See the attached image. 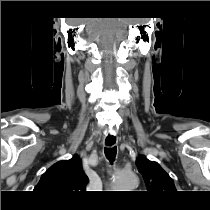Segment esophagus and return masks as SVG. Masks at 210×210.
Here are the masks:
<instances>
[{
	"label": "esophagus",
	"instance_id": "1",
	"mask_svg": "<svg viewBox=\"0 0 210 210\" xmlns=\"http://www.w3.org/2000/svg\"><path fill=\"white\" fill-rule=\"evenodd\" d=\"M117 143H118V137L113 133L106 134L105 137L103 138V146L106 148H112L116 146Z\"/></svg>",
	"mask_w": 210,
	"mask_h": 210
}]
</instances>
